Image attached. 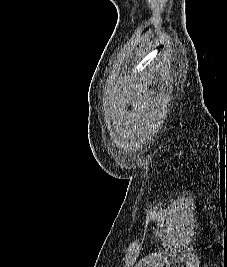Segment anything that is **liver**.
Listing matches in <instances>:
<instances>
[{"mask_svg": "<svg viewBox=\"0 0 227 267\" xmlns=\"http://www.w3.org/2000/svg\"><path fill=\"white\" fill-rule=\"evenodd\" d=\"M131 100H132V98H131L129 95H127L126 98H125V101H126L127 103H129V101H131Z\"/></svg>", "mask_w": 227, "mask_h": 267, "instance_id": "1", "label": "liver"}]
</instances>
